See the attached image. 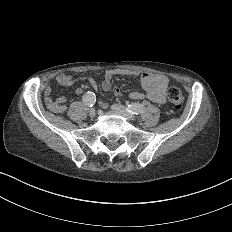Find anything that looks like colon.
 Returning a JSON list of instances; mask_svg holds the SVG:
<instances>
[{
	"label": "colon",
	"instance_id": "1",
	"mask_svg": "<svg viewBox=\"0 0 232 232\" xmlns=\"http://www.w3.org/2000/svg\"><path fill=\"white\" fill-rule=\"evenodd\" d=\"M179 86H170L166 92L169 102H165V107H183V95L179 92ZM47 108L54 113H67V105L61 96H49Z\"/></svg>",
	"mask_w": 232,
	"mask_h": 232
}]
</instances>
